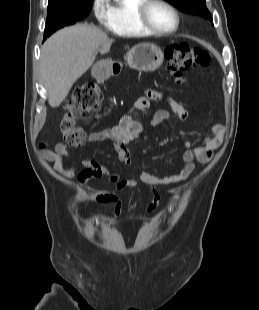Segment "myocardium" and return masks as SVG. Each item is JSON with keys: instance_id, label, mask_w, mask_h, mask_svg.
Instances as JSON below:
<instances>
[{"instance_id": "1", "label": "myocardium", "mask_w": 259, "mask_h": 310, "mask_svg": "<svg viewBox=\"0 0 259 310\" xmlns=\"http://www.w3.org/2000/svg\"><path fill=\"white\" fill-rule=\"evenodd\" d=\"M153 4H161V5L165 6L166 8H168L174 14L176 24H175V27L173 29L160 30V29H158L152 25V23L150 22V20L148 18V11H149V8ZM137 19H138L139 24L146 31H148L152 35H157V36H167V35H171V34L177 32L179 27H180V23H181L179 11L177 10V8L174 5H172L171 3H169L166 0H143V2L138 6V9H137Z\"/></svg>"}]
</instances>
